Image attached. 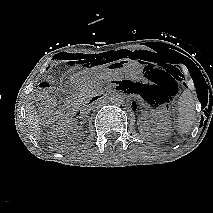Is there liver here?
<instances>
[{"mask_svg":"<svg viewBox=\"0 0 213 213\" xmlns=\"http://www.w3.org/2000/svg\"><path fill=\"white\" fill-rule=\"evenodd\" d=\"M26 121L31 134L36 138H39V135L41 134L40 119L31 103L26 105Z\"/></svg>","mask_w":213,"mask_h":213,"instance_id":"liver-1","label":"liver"}]
</instances>
